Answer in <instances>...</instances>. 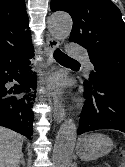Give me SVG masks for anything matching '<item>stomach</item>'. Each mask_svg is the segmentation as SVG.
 I'll return each mask as SVG.
<instances>
[{
    "label": "stomach",
    "mask_w": 125,
    "mask_h": 167,
    "mask_svg": "<svg viewBox=\"0 0 125 167\" xmlns=\"http://www.w3.org/2000/svg\"><path fill=\"white\" fill-rule=\"evenodd\" d=\"M112 149L113 141L108 136L100 133L82 136L77 144V153L85 161L105 156Z\"/></svg>",
    "instance_id": "1"
}]
</instances>
